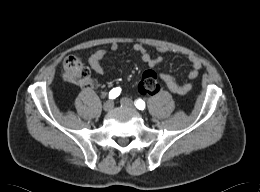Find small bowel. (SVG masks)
I'll return each instance as SVG.
<instances>
[{
  "instance_id": "obj_1",
  "label": "small bowel",
  "mask_w": 260,
  "mask_h": 192,
  "mask_svg": "<svg viewBox=\"0 0 260 192\" xmlns=\"http://www.w3.org/2000/svg\"><path fill=\"white\" fill-rule=\"evenodd\" d=\"M110 49L111 51L115 52L118 50V45L112 44ZM133 50L139 55L140 59L150 67H155L161 62V58L151 56L150 53L147 51L146 47L144 46V44L142 43H135L133 45ZM105 55H106L105 50H98L94 52L89 58V65L97 74L104 73L102 60L105 57ZM190 62L192 64V69L189 72V78L195 79L200 74L202 64L195 57H191ZM156 78L157 77L154 72L152 71L146 72L142 81L138 85L139 91L143 94L153 91L155 89ZM159 78L163 81V83L166 85L169 91L176 95H181V96L187 95L192 91L194 87V84L192 82H187L185 84H178L175 78L167 72L160 73Z\"/></svg>"
}]
</instances>
